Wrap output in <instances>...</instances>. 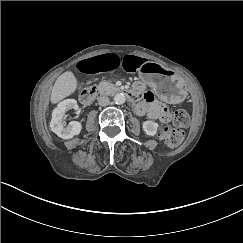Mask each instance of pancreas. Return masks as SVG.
<instances>
[{"instance_id":"1","label":"pancreas","mask_w":243,"mask_h":243,"mask_svg":"<svg viewBox=\"0 0 243 243\" xmlns=\"http://www.w3.org/2000/svg\"><path fill=\"white\" fill-rule=\"evenodd\" d=\"M118 88L110 83V82H106V81H103V82H100V84L98 85V90L100 93H110L112 91H115L117 90Z\"/></svg>"}]
</instances>
